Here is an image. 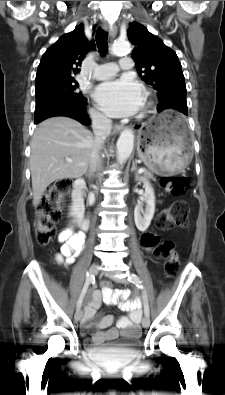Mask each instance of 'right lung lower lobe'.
Masks as SVG:
<instances>
[{"mask_svg": "<svg viewBox=\"0 0 225 395\" xmlns=\"http://www.w3.org/2000/svg\"><path fill=\"white\" fill-rule=\"evenodd\" d=\"M86 99H65L54 102L45 108L35 112V124L52 116H66L78 120L84 125L90 123L86 113Z\"/></svg>", "mask_w": 225, "mask_h": 395, "instance_id": "1", "label": "right lung lower lobe"}]
</instances>
